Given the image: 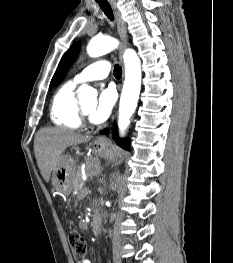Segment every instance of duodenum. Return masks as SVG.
<instances>
[{
  "label": "duodenum",
  "mask_w": 233,
  "mask_h": 263,
  "mask_svg": "<svg viewBox=\"0 0 233 263\" xmlns=\"http://www.w3.org/2000/svg\"><path fill=\"white\" fill-rule=\"evenodd\" d=\"M91 229L93 234L98 235L101 231V218L98 214H95L91 220Z\"/></svg>",
  "instance_id": "1"
}]
</instances>
